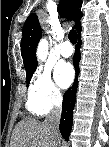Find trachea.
<instances>
[{
	"label": "trachea",
	"mask_w": 109,
	"mask_h": 147,
	"mask_svg": "<svg viewBox=\"0 0 109 147\" xmlns=\"http://www.w3.org/2000/svg\"><path fill=\"white\" fill-rule=\"evenodd\" d=\"M68 37H69V40H70V42H71L72 44H76V43H77V33H76L75 30H71V31L69 32Z\"/></svg>",
	"instance_id": "3493384b"
}]
</instances>
